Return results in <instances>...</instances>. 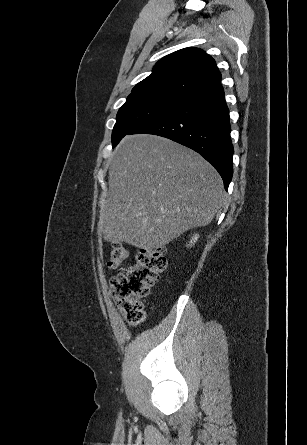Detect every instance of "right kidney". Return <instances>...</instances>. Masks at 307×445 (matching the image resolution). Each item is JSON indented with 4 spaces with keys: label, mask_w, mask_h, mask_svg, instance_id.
Listing matches in <instances>:
<instances>
[{
    "label": "right kidney",
    "mask_w": 307,
    "mask_h": 445,
    "mask_svg": "<svg viewBox=\"0 0 307 445\" xmlns=\"http://www.w3.org/2000/svg\"><path fill=\"white\" fill-rule=\"evenodd\" d=\"M197 239H199V235H195V237H193L192 241H190L191 245H193V243H196Z\"/></svg>",
    "instance_id": "ca27d5eb"
}]
</instances>
